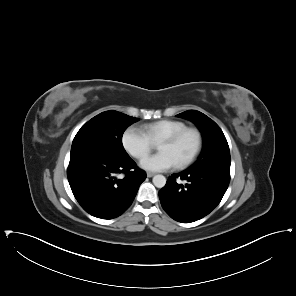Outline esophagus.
I'll return each mask as SVG.
<instances>
[{
    "label": "esophagus",
    "instance_id": "34e87169",
    "mask_svg": "<svg viewBox=\"0 0 296 296\" xmlns=\"http://www.w3.org/2000/svg\"><path fill=\"white\" fill-rule=\"evenodd\" d=\"M154 175H155V173L147 172V177H148V178L153 177Z\"/></svg>",
    "mask_w": 296,
    "mask_h": 296
}]
</instances>
